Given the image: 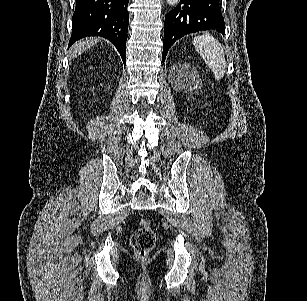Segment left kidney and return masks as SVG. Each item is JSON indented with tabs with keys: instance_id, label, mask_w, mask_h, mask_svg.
<instances>
[{
	"instance_id": "1",
	"label": "left kidney",
	"mask_w": 307,
	"mask_h": 301,
	"mask_svg": "<svg viewBox=\"0 0 307 301\" xmlns=\"http://www.w3.org/2000/svg\"><path fill=\"white\" fill-rule=\"evenodd\" d=\"M174 74V84L179 90H193L197 88L200 80L199 74L190 62H181V64H174L172 68Z\"/></svg>"
}]
</instances>
